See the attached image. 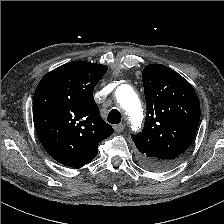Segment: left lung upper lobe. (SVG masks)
Returning a JSON list of instances; mask_svg holds the SVG:
<instances>
[{
    "label": "left lung upper lobe",
    "mask_w": 224,
    "mask_h": 224,
    "mask_svg": "<svg viewBox=\"0 0 224 224\" xmlns=\"http://www.w3.org/2000/svg\"><path fill=\"white\" fill-rule=\"evenodd\" d=\"M146 119L141 133L131 135L141 162L150 169L174 166L190 147L200 120V103L190 83L162 64L142 73Z\"/></svg>",
    "instance_id": "obj_1"
}]
</instances>
